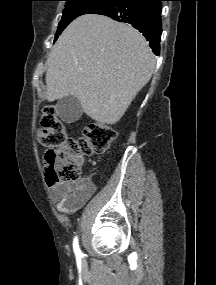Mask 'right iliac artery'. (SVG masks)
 <instances>
[{
    "mask_svg": "<svg viewBox=\"0 0 216 285\" xmlns=\"http://www.w3.org/2000/svg\"><path fill=\"white\" fill-rule=\"evenodd\" d=\"M73 249H74V253L77 257H81L82 256V253H81V250L79 248V244H78V238L77 236L74 238L73 240Z\"/></svg>",
    "mask_w": 216,
    "mask_h": 285,
    "instance_id": "1",
    "label": "right iliac artery"
}]
</instances>
